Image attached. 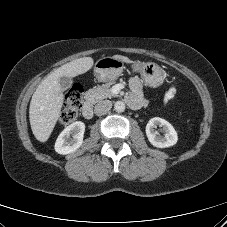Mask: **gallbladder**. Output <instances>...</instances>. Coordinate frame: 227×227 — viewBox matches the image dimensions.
<instances>
[{"mask_svg":"<svg viewBox=\"0 0 227 227\" xmlns=\"http://www.w3.org/2000/svg\"><path fill=\"white\" fill-rule=\"evenodd\" d=\"M59 83H60V86H61V89H62V90H67L68 88L71 87V85H72V80H71L70 77L64 76V77H61V78L59 79Z\"/></svg>","mask_w":227,"mask_h":227,"instance_id":"bac80fb5","label":"gallbladder"}]
</instances>
